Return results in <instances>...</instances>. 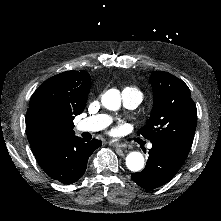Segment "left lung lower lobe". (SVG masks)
Returning <instances> with one entry per match:
<instances>
[{"instance_id": "left-lung-lower-lobe-1", "label": "left lung lower lobe", "mask_w": 221, "mask_h": 221, "mask_svg": "<svg viewBox=\"0 0 221 221\" xmlns=\"http://www.w3.org/2000/svg\"><path fill=\"white\" fill-rule=\"evenodd\" d=\"M143 171L131 175L133 181L144 189L153 190L169 182L183 165L173 149L162 143L153 142Z\"/></svg>"}]
</instances>
